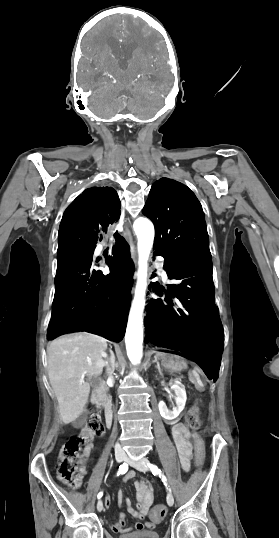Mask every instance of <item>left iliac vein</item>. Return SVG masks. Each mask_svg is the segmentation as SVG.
<instances>
[{
  "label": "left iliac vein",
  "mask_w": 279,
  "mask_h": 538,
  "mask_svg": "<svg viewBox=\"0 0 279 538\" xmlns=\"http://www.w3.org/2000/svg\"><path fill=\"white\" fill-rule=\"evenodd\" d=\"M125 461L127 463H129L131 466H133L135 469L141 471V472H146L148 470V467L147 465L149 464V461L147 458H141L139 460H134V459H131L130 457H125ZM167 504L169 506H173L174 504V497L172 495V493H168L167 494Z\"/></svg>",
  "instance_id": "left-iliac-vein-1"
}]
</instances>
